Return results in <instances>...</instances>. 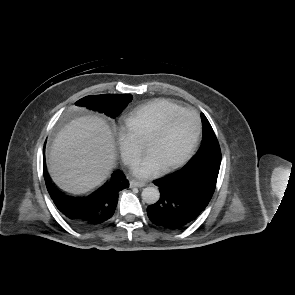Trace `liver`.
Here are the masks:
<instances>
[{
	"label": "liver",
	"instance_id": "liver-1",
	"mask_svg": "<svg viewBox=\"0 0 295 295\" xmlns=\"http://www.w3.org/2000/svg\"><path fill=\"white\" fill-rule=\"evenodd\" d=\"M115 159L114 138L107 123L95 116H82L57 134L48 170L59 188L78 195L105 182Z\"/></svg>",
	"mask_w": 295,
	"mask_h": 295
}]
</instances>
